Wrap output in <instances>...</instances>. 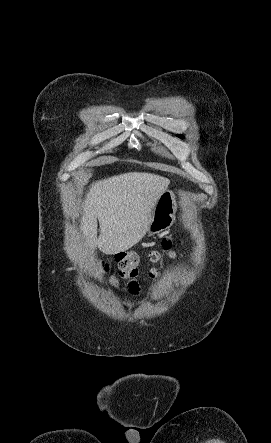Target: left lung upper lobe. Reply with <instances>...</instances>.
Instances as JSON below:
<instances>
[{"instance_id": "left-lung-upper-lobe-1", "label": "left lung upper lobe", "mask_w": 271, "mask_h": 443, "mask_svg": "<svg viewBox=\"0 0 271 443\" xmlns=\"http://www.w3.org/2000/svg\"><path fill=\"white\" fill-rule=\"evenodd\" d=\"M179 138H183V135H177Z\"/></svg>"}]
</instances>
